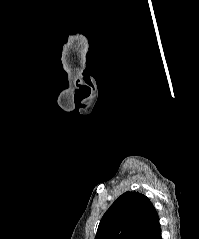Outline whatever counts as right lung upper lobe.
<instances>
[{
    "label": "right lung upper lobe",
    "instance_id": "obj_1",
    "mask_svg": "<svg viewBox=\"0 0 199 239\" xmlns=\"http://www.w3.org/2000/svg\"><path fill=\"white\" fill-rule=\"evenodd\" d=\"M158 222V213L150 200L128 191L103 215L95 239H142Z\"/></svg>",
    "mask_w": 199,
    "mask_h": 239
}]
</instances>
